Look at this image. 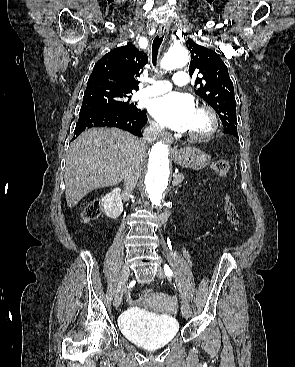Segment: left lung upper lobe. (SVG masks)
<instances>
[{"label":"left lung upper lobe","mask_w":295,"mask_h":367,"mask_svg":"<svg viewBox=\"0 0 295 367\" xmlns=\"http://www.w3.org/2000/svg\"><path fill=\"white\" fill-rule=\"evenodd\" d=\"M186 46L191 53L190 76L194 73L202 75L196 79V84L200 85L196 94L217 112L224 130L237 131L236 101L227 66L215 51L196 44L190 38Z\"/></svg>","instance_id":"left-lung-upper-lobe-1"}]
</instances>
